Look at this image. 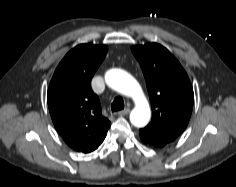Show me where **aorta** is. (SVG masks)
<instances>
[{"instance_id": "762f6f07", "label": "aorta", "mask_w": 236, "mask_h": 187, "mask_svg": "<svg viewBox=\"0 0 236 187\" xmlns=\"http://www.w3.org/2000/svg\"><path fill=\"white\" fill-rule=\"evenodd\" d=\"M105 81L110 88L135 102V107L130 113V121L136 127L145 126L150 120L151 111L139 83L121 69L107 71Z\"/></svg>"}]
</instances>
